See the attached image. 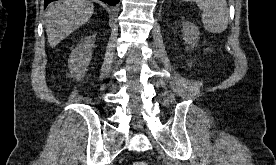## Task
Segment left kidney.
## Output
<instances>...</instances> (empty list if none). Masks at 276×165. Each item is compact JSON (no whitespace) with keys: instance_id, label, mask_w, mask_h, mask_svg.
<instances>
[{"instance_id":"5707ae66","label":"left kidney","mask_w":276,"mask_h":165,"mask_svg":"<svg viewBox=\"0 0 276 165\" xmlns=\"http://www.w3.org/2000/svg\"><path fill=\"white\" fill-rule=\"evenodd\" d=\"M182 32L184 34L185 43L194 47L200 35L198 27L192 23L183 22Z\"/></svg>"}]
</instances>
